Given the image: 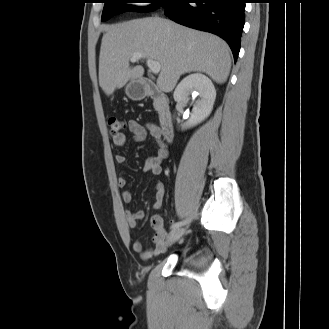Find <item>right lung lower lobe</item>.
Masks as SVG:
<instances>
[{
  "instance_id": "right-lung-lower-lobe-1",
  "label": "right lung lower lobe",
  "mask_w": 329,
  "mask_h": 329,
  "mask_svg": "<svg viewBox=\"0 0 329 329\" xmlns=\"http://www.w3.org/2000/svg\"><path fill=\"white\" fill-rule=\"evenodd\" d=\"M246 0H170L163 6L171 20L223 38L234 60L240 50Z\"/></svg>"
}]
</instances>
